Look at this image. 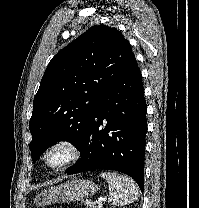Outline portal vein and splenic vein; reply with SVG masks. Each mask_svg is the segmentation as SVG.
<instances>
[{
	"label": "portal vein and splenic vein",
	"instance_id": "1",
	"mask_svg": "<svg viewBox=\"0 0 199 208\" xmlns=\"http://www.w3.org/2000/svg\"><path fill=\"white\" fill-rule=\"evenodd\" d=\"M104 200H105V198H99L98 201H97V204H99V205L102 204V202H103Z\"/></svg>",
	"mask_w": 199,
	"mask_h": 208
}]
</instances>
